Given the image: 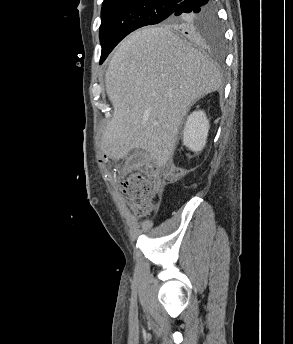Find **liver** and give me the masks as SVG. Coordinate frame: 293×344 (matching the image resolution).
<instances>
[{
    "label": "liver",
    "instance_id": "1",
    "mask_svg": "<svg viewBox=\"0 0 293 344\" xmlns=\"http://www.w3.org/2000/svg\"><path fill=\"white\" fill-rule=\"evenodd\" d=\"M113 106L103 147L122 159L146 150L163 167L172 159L179 129L200 97L218 90L221 73L168 27L140 29L114 52L105 74Z\"/></svg>",
    "mask_w": 293,
    "mask_h": 344
}]
</instances>
